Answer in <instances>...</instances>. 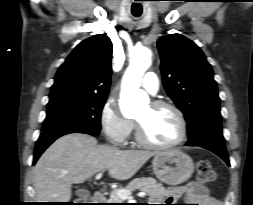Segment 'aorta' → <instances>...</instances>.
<instances>
[{
	"mask_svg": "<svg viewBox=\"0 0 253 205\" xmlns=\"http://www.w3.org/2000/svg\"><path fill=\"white\" fill-rule=\"evenodd\" d=\"M152 52L147 47H136L130 53V65L123 80L120 109L124 117L129 118L137 114L149 103L148 95L141 90V78L151 65Z\"/></svg>",
	"mask_w": 253,
	"mask_h": 205,
	"instance_id": "aorta-1",
	"label": "aorta"
}]
</instances>
